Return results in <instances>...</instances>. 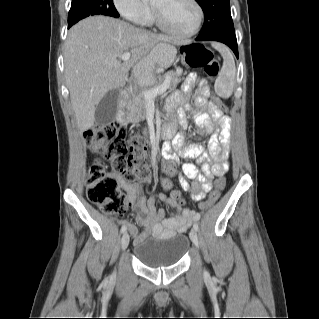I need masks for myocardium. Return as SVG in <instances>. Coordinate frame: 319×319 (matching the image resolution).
<instances>
[{
  "label": "myocardium",
  "instance_id": "obj_1",
  "mask_svg": "<svg viewBox=\"0 0 319 319\" xmlns=\"http://www.w3.org/2000/svg\"><path fill=\"white\" fill-rule=\"evenodd\" d=\"M189 2L194 6V8L196 9V12H197L196 21H195V24L191 30H189L187 32H179V31L174 30L173 28L169 27L166 24L161 12L156 7L152 6L153 15H154V18H155L156 23L159 26V28H161L163 31H165V32H167L175 37H178V38H190L193 35H195L198 32V30L202 24L204 13H203V9H202L201 5L199 4V2L197 0H189Z\"/></svg>",
  "mask_w": 319,
  "mask_h": 319
}]
</instances>
